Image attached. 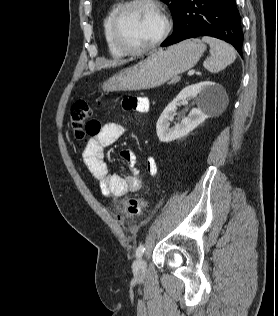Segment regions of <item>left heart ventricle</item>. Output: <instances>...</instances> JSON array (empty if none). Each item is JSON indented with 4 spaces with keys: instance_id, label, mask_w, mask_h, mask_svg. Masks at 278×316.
I'll return each instance as SVG.
<instances>
[{
    "instance_id": "b2bd125f",
    "label": "left heart ventricle",
    "mask_w": 278,
    "mask_h": 316,
    "mask_svg": "<svg viewBox=\"0 0 278 316\" xmlns=\"http://www.w3.org/2000/svg\"><path fill=\"white\" fill-rule=\"evenodd\" d=\"M162 30L159 14L149 5L139 4L129 9L120 24L123 41L138 48L154 41Z\"/></svg>"
}]
</instances>
